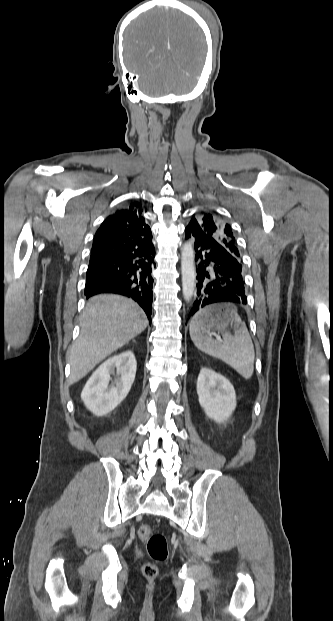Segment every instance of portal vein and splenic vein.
I'll use <instances>...</instances> for the list:
<instances>
[{
	"label": "portal vein and splenic vein",
	"mask_w": 333,
	"mask_h": 621,
	"mask_svg": "<svg viewBox=\"0 0 333 621\" xmlns=\"http://www.w3.org/2000/svg\"><path fill=\"white\" fill-rule=\"evenodd\" d=\"M218 340H219L220 342L222 341L220 337H218Z\"/></svg>",
	"instance_id": "18ae733b"
}]
</instances>
